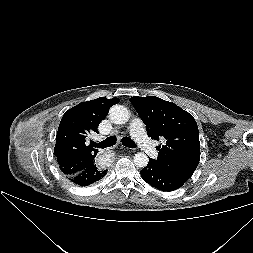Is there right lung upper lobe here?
Listing matches in <instances>:
<instances>
[{
  "label": "right lung upper lobe",
  "mask_w": 253,
  "mask_h": 253,
  "mask_svg": "<svg viewBox=\"0 0 253 253\" xmlns=\"http://www.w3.org/2000/svg\"><path fill=\"white\" fill-rule=\"evenodd\" d=\"M118 98L100 97L69 109L62 117L54 153L65 176L75 175L95 163L98 153L88 145L89 134L97 132L100 122Z\"/></svg>",
  "instance_id": "obj_1"
}]
</instances>
